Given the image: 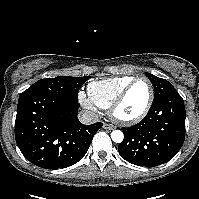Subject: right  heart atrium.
Returning <instances> with one entry per match:
<instances>
[{
    "instance_id": "1",
    "label": "right heart atrium",
    "mask_w": 199,
    "mask_h": 199,
    "mask_svg": "<svg viewBox=\"0 0 199 199\" xmlns=\"http://www.w3.org/2000/svg\"><path fill=\"white\" fill-rule=\"evenodd\" d=\"M78 99L82 106H84L86 109L91 110L93 112L97 111V106L90 100V98L83 91L79 92Z\"/></svg>"
}]
</instances>
